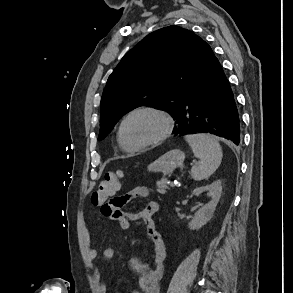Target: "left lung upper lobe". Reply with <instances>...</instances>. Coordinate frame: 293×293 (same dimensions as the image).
<instances>
[{"label": "left lung upper lobe", "mask_w": 293, "mask_h": 293, "mask_svg": "<svg viewBox=\"0 0 293 293\" xmlns=\"http://www.w3.org/2000/svg\"><path fill=\"white\" fill-rule=\"evenodd\" d=\"M213 57L202 38L178 26L146 36L108 78L100 104L98 140L123 115L140 106L165 108L178 121L183 101L205 80Z\"/></svg>", "instance_id": "5c2ea615"}]
</instances>
